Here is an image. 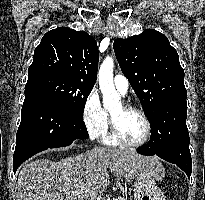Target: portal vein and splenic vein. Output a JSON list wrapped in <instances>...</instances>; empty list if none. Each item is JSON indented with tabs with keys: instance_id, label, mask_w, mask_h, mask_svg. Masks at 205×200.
I'll use <instances>...</instances> for the list:
<instances>
[{
	"instance_id": "portal-vein-and-splenic-vein-1",
	"label": "portal vein and splenic vein",
	"mask_w": 205,
	"mask_h": 200,
	"mask_svg": "<svg viewBox=\"0 0 205 200\" xmlns=\"http://www.w3.org/2000/svg\"><path fill=\"white\" fill-rule=\"evenodd\" d=\"M82 193L81 192H76L75 195L80 196ZM92 199L91 200H105L98 194H91Z\"/></svg>"
}]
</instances>
